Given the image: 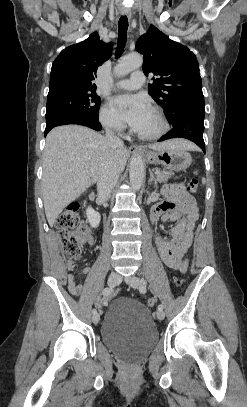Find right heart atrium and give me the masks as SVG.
Instances as JSON below:
<instances>
[{"label":"right heart atrium","mask_w":247,"mask_h":407,"mask_svg":"<svg viewBox=\"0 0 247 407\" xmlns=\"http://www.w3.org/2000/svg\"><path fill=\"white\" fill-rule=\"evenodd\" d=\"M99 121L102 126L108 131L120 133L124 129V125L112 108L108 105H102L99 110Z\"/></svg>","instance_id":"right-heart-atrium-1"}]
</instances>
